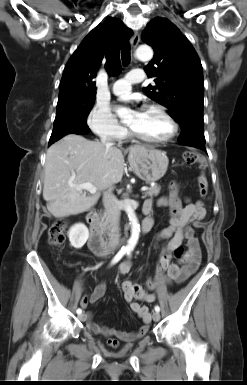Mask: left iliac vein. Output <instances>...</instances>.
Wrapping results in <instances>:
<instances>
[{"mask_svg":"<svg viewBox=\"0 0 247 385\" xmlns=\"http://www.w3.org/2000/svg\"><path fill=\"white\" fill-rule=\"evenodd\" d=\"M152 318L154 321H159L160 320V314L159 312H154L152 315Z\"/></svg>","mask_w":247,"mask_h":385,"instance_id":"1","label":"left iliac vein"}]
</instances>
